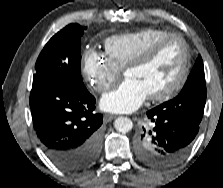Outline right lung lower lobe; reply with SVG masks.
Masks as SVG:
<instances>
[{"label": "right lung lower lobe", "mask_w": 223, "mask_h": 188, "mask_svg": "<svg viewBox=\"0 0 223 188\" xmlns=\"http://www.w3.org/2000/svg\"><path fill=\"white\" fill-rule=\"evenodd\" d=\"M95 98L87 92L42 80H33L32 120L48 158L68 172L83 170L101 150L102 115L94 112Z\"/></svg>", "instance_id": "1"}]
</instances>
